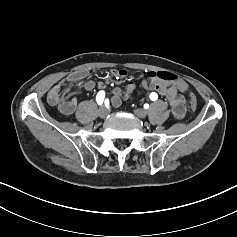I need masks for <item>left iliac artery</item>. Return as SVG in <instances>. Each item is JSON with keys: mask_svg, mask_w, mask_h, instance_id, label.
Wrapping results in <instances>:
<instances>
[{"mask_svg": "<svg viewBox=\"0 0 237 237\" xmlns=\"http://www.w3.org/2000/svg\"><path fill=\"white\" fill-rule=\"evenodd\" d=\"M149 97L152 101H156L158 99V95L155 92H152ZM148 108H149V106H146L145 109H148Z\"/></svg>", "mask_w": 237, "mask_h": 237, "instance_id": "left-iliac-artery-1", "label": "left iliac artery"}]
</instances>
